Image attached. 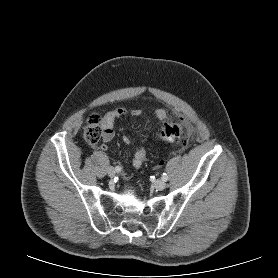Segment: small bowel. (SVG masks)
<instances>
[{"instance_id":"obj_1","label":"small bowel","mask_w":278,"mask_h":278,"mask_svg":"<svg viewBox=\"0 0 278 278\" xmlns=\"http://www.w3.org/2000/svg\"><path fill=\"white\" fill-rule=\"evenodd\" d=\"M140 114H141L140 109L128 110L125 108H116L105 113L101 122L102 129H103V133H102L103 142L106 144L113 140L115 136L114 123L116 119L126 115L138 116ZM154 115L157 119L164 120L167 118L168 114L164 109L159 108L154 111ZM122 140L127 145L131 143V139L129 136L126 135L123 136ZM105 144H102L100 146V148L104 151L107 150V146ZM145 159H146V150L143 147H138L134 152L132 165L135 168H139L141 167ZM161 164H162L161 162L157 163L156 166H160ZM125 177H128V175L125 174Z\"/></svg>"}]
</instances>
